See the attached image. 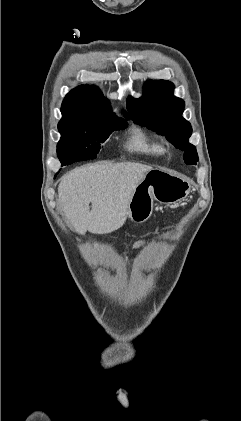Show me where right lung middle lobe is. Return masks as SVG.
<instances>
[{
	"label": "right lung middle lobe",
	"instance_id": "obj_1",
	"mask_svg": "<svg viewBox=\"0 0 241 421\" xmlns=\"http://www.w3.org/2000/svg\"><path fill=\"white\" fill-rule=\"evenodd\" d=\"M127 122L123 119L103 118L92 123L60 121L58 129L61 139L57 144V154L61 165L94 159L112 131L124 129Z\"/></svg>",
	"mask_w": 241,
	"mask_h": 421
}]
</instances>
